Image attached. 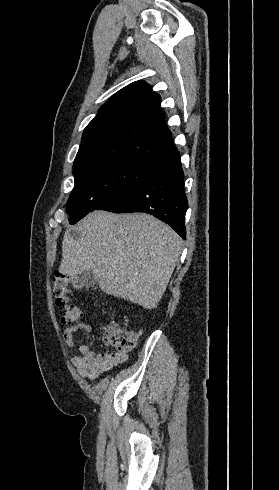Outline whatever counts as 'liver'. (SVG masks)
I'll return each instance as SVG.
<instances>
[{"instance_id":"liver-1","label":"liver","mask_w":279,"mask_h":490,"mask_svg":"<svg viewBox=\"0 0 279 490\" xmlns=\"http://www.w3.org/2000/svg\"><path fill=\"white\" fill-rule=\"evenodd\" d=\"M65 234L60 274L92 270L106 294L157 308L181 254L178 234L150 214L91 212Z\"/></svg>"}]
</instances>
